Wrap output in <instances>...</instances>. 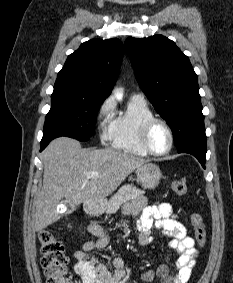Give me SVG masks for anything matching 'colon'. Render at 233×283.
I'll list each match as a JSON object with an SVG mask.
<instances>
[{"label":"colon","instance_id":"1","mask_svg":"<svg viewBox=\"0 0 233 283\" xmlns=\"http://www.w3.org/2000/svg\"><path fill=\"white\" fill-rule=\"evenodd\" d=\"M172 189L178 195L187 192V184L183 179L172 182ZM191 224L195 232L198 248H203L206 243V231L200 214L191 215ZM41 265L47 279V283H73L71 273L68 271V258L63 244L55 234L49 230L41 231L39 234Z\"/></svg>","mask_w":233,"mask_h":283}]
</instances>
